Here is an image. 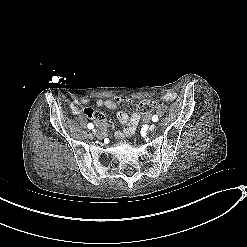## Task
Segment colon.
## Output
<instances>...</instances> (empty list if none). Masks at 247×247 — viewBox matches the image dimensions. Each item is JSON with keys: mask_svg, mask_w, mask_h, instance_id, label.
Returning a JSON list of instances; mask_svg holds the SVG:
<instances>
[{"mask_svg": "<svg viewBox=\"0 0 247 247\" xmlns=\"http://www.w3.org/2000/svg\"><path fill=\"white\" fill-rule=\"evenodd\" d=\"M157 108V103L151 100H142L138 103V110L142 114L153 112Z\"/></svg>", "mask_w": 247, "mask_h": 247, "instance_id": "1", "label": "colon"}]
</instances>
